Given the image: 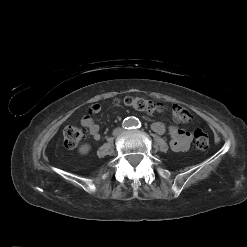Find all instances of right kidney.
Here are the masks:
<instances>
[{
    "label": "right kidney",
    "mask_w": 247,
    "mask_h": 247,
    "mask_svg": "<svg viewBox=\"0 0 247 247\" xmlns=\"http://www.w3.org/2000/svg\"><path fill=\"white\" fill-rule=\"evenodd\" d=\"M91 149V146L89 144H83L79 147V153L82 155L87 154Z\"/></svg>",
    "instance_id": "right-kidney-1"
}]
</instances>
